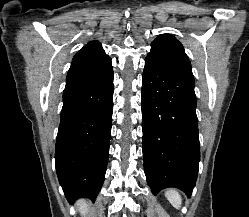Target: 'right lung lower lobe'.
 Instances as JSON below:
<instances>
[{"instance_id": "1", "label": "right lung lower lobe", "mask_w": 249, "mask_h": 217, "mask_svg": "<svg viewBox=\"0 0 249 217\" xmlns=\"http://www.w3.org/2000/svg\"><path fill=\"white\" fill-rule=\"evenodd\" d=\"M113 70L108 55L74 61L68 71L55 160L66 198L95 199L108 163L113 111Z\"/></svg>"}]
</instances>
